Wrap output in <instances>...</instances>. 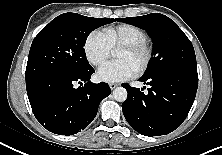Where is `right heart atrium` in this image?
<instances>
[{"mask_svg": "<svg viewBox=\"0 0 222 155\" xmlns=\"http://www.w3.org/2000/svg\"><path fill=\"white\" fill-rule=\"evenodd\" d=\"M111 50L106 37L98 30L92 31L84 43L86 58L94 66L102 65L110 57Z\"/></svg>", "mask_w": 222, "mask_h": 155, "instance_id": "right-heart-atrium-1", "label": "right heart atrium"}]
</instances>
